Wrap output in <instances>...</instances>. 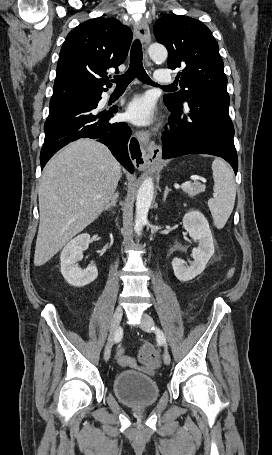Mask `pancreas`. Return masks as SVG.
Returning a JSON list of instances; mask_svg holds the SVG:
<instances>
[{"label": "pancreas", "mask_w": 272, "mask_h": 455, "mask_svg": "<svg viewBox=\"0 0 272 455\" xmlns=\"http://www.w3.org/2000/svg\"><path fill=\"white\" fill-rule=\"evenodd\" d=\"M185 193H187L190 197H194L199 193L205 191V185H201L199 183L193 184L191 187L184 189Z\"/></svg>", "instance_id": "pancreas-1"}]
</instances>
